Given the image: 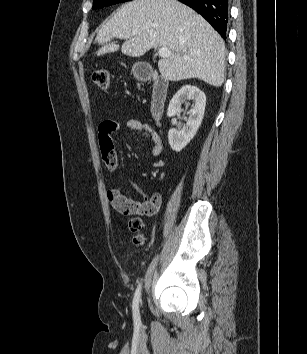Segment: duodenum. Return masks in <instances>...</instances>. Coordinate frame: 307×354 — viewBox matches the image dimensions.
Listing matches in <instances>:
<instances>
[{
  "mask_svg": "<svg viewBox=\"0 0 307 354\" xmlns=\"http://www.w3.org/2000/svg\"><path fill=\"white\" fill-rule=\"evenodd\" d=\"M138 77L143 81H152L150 112L153 119L159 122L163 115L168 96V81L147 68L139 69Z\"/></svg>",
  "mask_w": 307,
  "mask_h": 354,
  "instance_id": "duodenum-1",
  "label": "duodenum"
}]
</instances>
